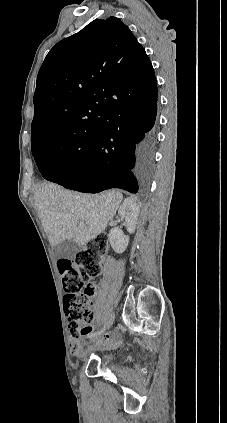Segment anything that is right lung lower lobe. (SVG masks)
<instances>
[{
	"instance_id": "right-lung-lower-lobe-1",
	"label": "right lung lower lobe",
	"mask_w": 227,
	"mask_h": 423,
	"mask_svg": "<svg viewBox=\"0 0 227 423\" xmlns=\"http://www.w3.org/2000/svg\"><path fill=\"white\" fill-rule=\"evenodd\" d=\"M157 91L146 97H131L108 108L104 126L92 151L52 180L65 188L98 193L121 188L137 193L147 187L156 146Z\"/></svg>"
}]
</instances>
